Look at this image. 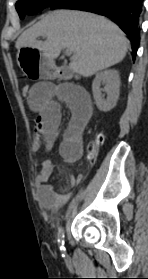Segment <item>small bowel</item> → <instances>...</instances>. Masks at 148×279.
<instances>
[{
  "mask_svg": "<svg viewBox=\"0 0 148 279\" xmlns=\"http://www.w3.org/2000/svg\"><path fill=\"white\" fill-rule=\"evenodd\" d=\"M30 109L35 113L32 151L38 152L42 145L50 150L57 139L61 122V104L72 110V118L59 147L66 163L78 161L84 151V132L92 117L93 107L88 93L73 84L39 82L31 87L27 98ZM56 166L46 160L42 163L35 186L40 203L46 208H57L71 197V189L81 182V176L69 175L55 185L49 183Z\"/></svg>",
  "mask_w": 148,
  "mask_h": 279,
  "instance_id": "obj_1",
  "label": "small bowel"
}]
</instances>
